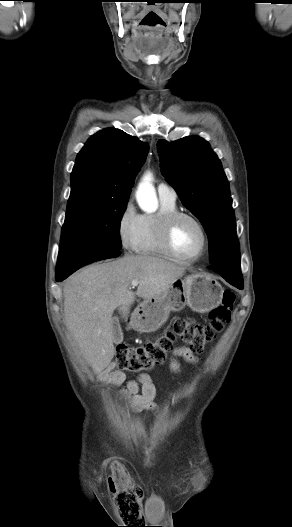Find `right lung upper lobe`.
I'll use <instances>...</instances> for the list:
<instances>
[{"instance_id": "right-lung-upper-lobe-1", "label": "right lung upper lobe", "mask_w": 292, "mask_h": 527, "mask_svg": "<svg viewBox=\"0 0 292 527\" xmlns=\"http://www.w3.org/2000/svg\"><path fill=\"white\" fill-rule=\"evenodd\" d=\"M148 149V143L122 130L104 129L94 134L79 152L71 173V187L129 198Z\"/></svg>"}]
</instances>
